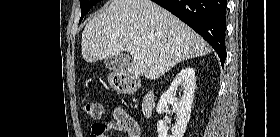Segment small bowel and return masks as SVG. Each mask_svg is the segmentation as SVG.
I'll return each mask as SVG.
<instances>
[{
    "instance_id": "obj_1",
    "label": "small bowel",
    "mask_w": 280,
    "mask_h": 137,
    "mask_svg": "<svg viewBox=\"0 0 280 137\" xmlns=\"http://www.w3.org/2000/svg\"><path fill=\"white\" fill-rule=\"evenodd\" d=\"M113 116L112 121L94 123L91 126L90 137H108V132L111 130L125 133L127 137H140L138 130L136 134H132L129 126L125 123L126 118L129 117L122 109H115Z\"/></svg>"
}]
</instances>
